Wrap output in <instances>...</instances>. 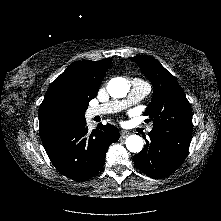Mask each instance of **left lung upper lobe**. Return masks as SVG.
Segmentation results:
<instances>
[{"instance_id": "1", "label": "left lung upper lobe", "mask_w": 221, "mask_h": 221, "mask_svg": "<svg viewBox=\"0 0 221 221\" xmlns=\"http://www.w3.org/2000/svg\"><path fill=\"white\" fill-rule=\"evenodd\" d=\"M130 59L138 64L154 88L153 99L144 112L153 120V129L192 134L191 106L175 77L150 56Z\"/></svg>"}]
</instances>
